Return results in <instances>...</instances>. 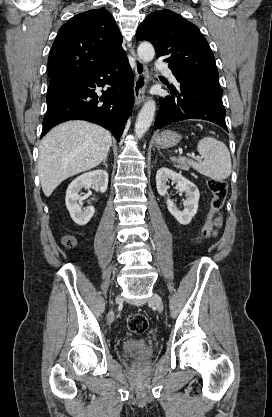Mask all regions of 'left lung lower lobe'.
<instances>
[{"label": "left lung lower lobe", "mask_w": 272, "mask_h": 417, "mask_svg": "<svg viewBox=\"0 0 272 417\" xmlns=\"http://www.w3.org/2000/svg\"><path fill=\"white\" fill-rule=\"evenodd\" d=\"M178 84L168 85L169 96L160 99L155 129L186 119H203L227 130L222 94L209 91L185 78L175 76Z\"/></svg>", "instance_id": "obj_1"}]
</instances>
